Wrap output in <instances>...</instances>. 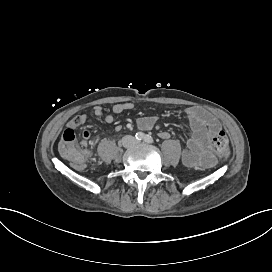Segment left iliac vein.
Returning <instances> with one entry per match:
<instances>
[{"label": "left iliac vein", "instance_id": "obj_1", "mask_svg": "<svg viewBox=\"0 0 272 272\" xmlns=\"http://www.w3.org/2000/svg\"><path fill=\"white\" fill-rule=\"evenodd\" d=\"M137 143H138L137 141L134 142V144H137Z\"/></svg>", "mask_w": 272, "mask_h": 272}]
</instances>
